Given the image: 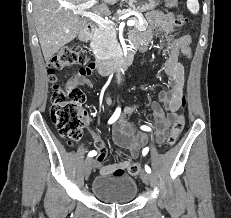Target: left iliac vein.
Listing matches in <instances>:
<instances>
[{"label": "left iliac vein", "instance_id": "1", "mask_svg": "<svg viewBox=\"0 0 231 218\" xmlns=\"http://www.w3.org/2000/svg\"><path fill=\"white\" fill-rule=\"evenodd\" d=\"M141 178H142L143 182H144L146 185H148V184L150 183V181H151V176H150V174H149L148 172H146V171H143V172L141 173Z\"/></svg>", "mask_w": 231, "mask_h": 218}]
</instances>
